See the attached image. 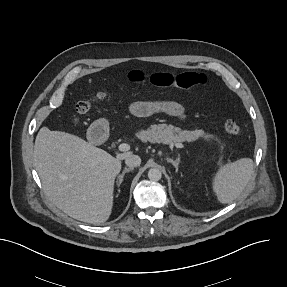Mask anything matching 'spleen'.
Here are the masks:
<instances>
[{"label": "spleen", "instance_id": "1", "mask_svg": "<svg viewBox=\"0 0 287 287\" xmlns=\"http://www.w3.org/2000/svg\"><path fill=\"white\" fill-rule=\"evenodd\" d=\"M253 173V160L241 158L228 163L216 172L213 178V190L219 202H233L245 189Z\"/></svg>", "mask_w": 287, "mask_h": 287}]
</instances>
